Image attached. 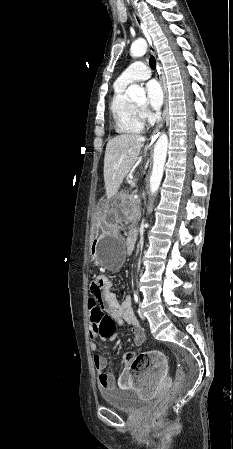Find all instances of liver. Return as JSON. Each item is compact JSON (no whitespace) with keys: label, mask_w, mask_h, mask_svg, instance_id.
Wrapping results in <instances>:
<instances>
[{"label":"liver","mask_w":233,"mask_h":449,"mask_svg":"<svg viewBox=\"0 0 233 449\" xmlns=\"http://www.w3.org/2000/svg\"><path fill=\"white\" fill-rule=\"evenodd\" d=\"M146 138L139 134H122L109 140L104 157V182L107 199L115 196L138 159Z\"/></svg>","instance_id":"1"}]
</instances>
